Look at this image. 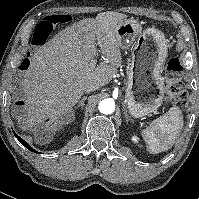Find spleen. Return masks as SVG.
I'll use <instances>...</instances> for the list:
<instances>
[{
	"label": "spleen",
	"mask_w": 199,
	"mask_h": 199,
	"mask_svg": "<svg viewBox=\"0 0 199 199\" xmlns=\"http://www.w3.org/2000/svg\"><path fill=\"white\" fill-rule=\"evenodd\" d=\"M182 128L183 116L180 109L171 107L142 131L147 150L154 154L169 150L175 144Z\"/></svg>",
	"instance_id": "1"
}]
</instances>
